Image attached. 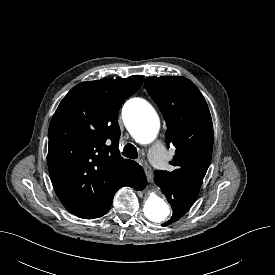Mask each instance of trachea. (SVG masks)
<instances>
[{
	"instance_id": "trachea-1",
	"label": "trachea",
	"mask_w": 275,
	"mask_h": 275,
	"mask_svg": "<svg viewBox=\"0 0 275 275\" xmlns=\"http://www.w3.org/2000/svg\"><path fill=\"white\" fill-rule=\"evenodd\" d=\"M122 154L130 159H137L138 158V152L134 145L132 144H126Z\"/></svg>"
}]
</instances>
